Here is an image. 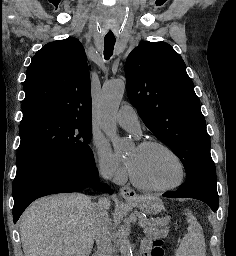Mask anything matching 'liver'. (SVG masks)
I'll return each instance as SVG.
<instances>
[{"label":"liver","mask_w":236,"mask_h":256,"mask_svg":"<svg viewBox=\"0 0 236 256\" xmlns=\"http://www.w3.org/2000/svg\"><path fill=\"white\" fill-rule=\"evenodd\" d=\"M84 194H56L33 202L19 220L24 256H90L95 228L106 220ZM103 208V206H101Z\"/></svg>","instance_id":"1"}]
</instances>
